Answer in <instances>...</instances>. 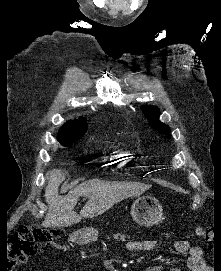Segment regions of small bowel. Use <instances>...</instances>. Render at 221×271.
Listing matches in <instances>:
<instances>
[{
  "label": "small bowel",
  "instance_id": "obj_1",
  "mask_svg": "<svg viewBox=\"0 0 221 271\" xmlns=\"http://www.w3.org/2000/svg\"><path fill=\"white\" fill-rule=\"evenodd\" d=\"M157 246V241L148 240H130L126 244V248L130 252L151 251ZM175 250L179 253H188L187 266L190 271H208L204 259L202 257V249L199 246L191 245L187 240H177L174 242ZM109 270H113L110 266ZM163 265H153L144 269V271H164ZM168 271H179L176 267H170Z\"/></svg>",
  "mask_w": 221,
  "mask_h": 271
}]
</instances>
